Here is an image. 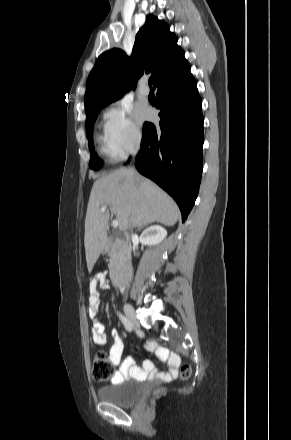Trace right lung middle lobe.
I'll return each instance as SVG.
<instances>
[{"mask_svg": "<svg viewBox=\"0 0 291 440\" xmlns=\"http://www.w3.org/2000/svg\"><path fill=\"white\" fill-rule=\"evenodd\" d=\"M104 106H106V105H104ZM104 106L96 107L86 113V135H87V138L89 141V150H90V154H91L89 167L94 170L99 169L101 167V165H99V163H98L99 158H98L97 154L94 152V145H93V141H92L93 123L96 120L98 112Z\"/></svg>", "mask_w": 291, "mask_h": 440, "instance_id": "dd1d6c3e", "label": "right lung middle lobe"}]
</instances>
